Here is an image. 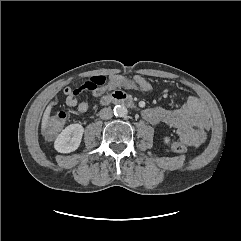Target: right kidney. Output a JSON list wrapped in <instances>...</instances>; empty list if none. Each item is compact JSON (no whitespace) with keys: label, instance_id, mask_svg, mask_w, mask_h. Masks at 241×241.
<instances>
[{"label":"right kidney","instance_id":"right-kidney-1","mask_svg":"<svg viewBox=\"0 0 241 241\" xmlns=\"http://www.w3.org/2000/svg\"><path fill=\"white\" fill-rule=\"evenodd\" d=\"M84 128L80 124H71L67 126L62 132L57 136L54 147L60 153H70L78 149Z\"/></svg>","mask_w":241,"mask_h":241}]
</instances>
